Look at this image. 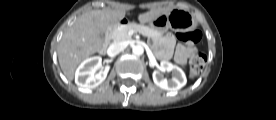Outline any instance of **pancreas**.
<instances>
[{
    "label": "pancreas",
    "mask_w": 276,
    "mask_h": 120,
    "mask_svg": "<svg viewBox=\"0 0 276 120\" xmlns=\"http://www.w3.org/2000/svg\"><path fill=\"white\" fill-rule=\"evenodd\" d=\"M135 30L143 34L144 36H147L149 38L158 37L161 35V33L140 24L135 23H129L127 25L120 26L116 30L113 31L112 37L115 42L117 41H126L131 39V36L129 35V31Z\"/></svg>",
    "instance_id": "1"
}]
</instances>
